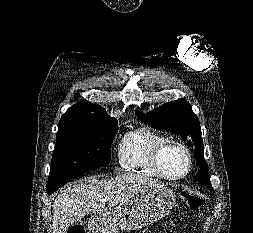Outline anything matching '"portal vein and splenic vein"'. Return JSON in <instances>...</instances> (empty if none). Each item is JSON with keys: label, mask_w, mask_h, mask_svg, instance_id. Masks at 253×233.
<instances>
[{"label": "portal vein and splenic vein", "mask_w": 253, "mask_h": 233, "mask_svg": "<svg viewBox=\"0 0 253 233\" xmlns=\"http://www.w3.org/2000/svg\"><path fill=\"white\" fill-rule=\"evenodd\" d=\"M110 199H111L110 196H106V197H105V201L110 200Z\"/></svg>", "instance_id": "portal-vein-and-splenic-vein-1"}]
</instances>
